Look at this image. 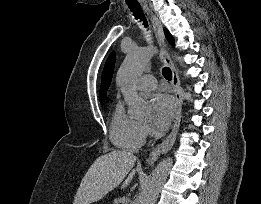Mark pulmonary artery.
<instances>
[{
    "mask_svg": "<svg viewBox=\"0 0 261 204\" xmlns=\"http://www.w3.org/2000/svg\"><path fill=\"white\" fill-rule=\"evenodd\" d=\"M157 80L153 75H144L137 82V88L141 91H149L155 89Z\"/></svg>",
    "mask_w": 261,
    "mask_h": 204,
    "instance_id": "e3ab8cb5",
    "label": "pulmonary artery"
}]
</instances>
